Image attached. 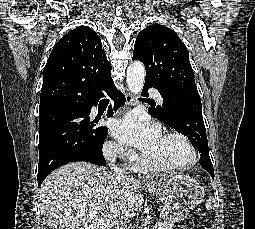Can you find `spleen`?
<instances>
[{"mask_svg":"<svg viewBox=\"0 0 255 229\" xmlns=\"http://www.w3.org/2000/svg\"><path fill=\"white\" fill-rule=\"evenodd\" d=\"M205 206L208 210H211L213 208V201L211 198H209L206 203H205Z\"/></svg>","mask_w":255,"mask_h":229,"instance_id":"1","label":"spleen"}]
</instances>
